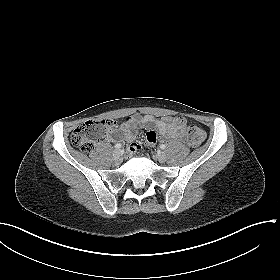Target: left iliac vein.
Instances as JSON below:
<instances>
[{
	"label": "left iliac vein",
	"instance_id": "4c4485c4",
	"mask_svg": "<svg viewBox=\"0 0 280 280\" xmlns=\"http://www.w3.org/2000/svg\"><path fill=\"white\" fill-rule=\"evenodd\" d=\"M155 159L159 161L160 163H164L167 160V156L164 152H159L155 154Z\"/></svg>",
	"mask_w": 280,
	"mask_h": 280
}]
</instances>
